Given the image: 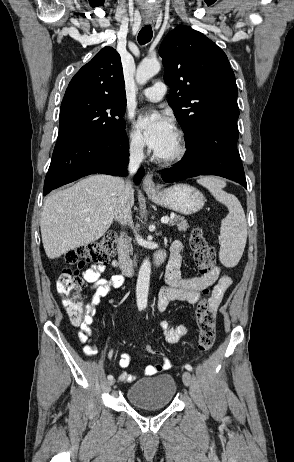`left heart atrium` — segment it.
Masks as SVG:
<instances>
[{
  "label": "left heart atrium",
  "mask_w": 294,
  "mask_h": 462,
  "mask_svg": "<svg viewBox=\"0 0 294 462\" xmlns=\"http://www.w3.org/2000/svg\"><path fill=\"white\" fill-rule=\"evenodd\" d=\"M136 127L143 133L147 145L162 156L176 137L172 121L164 115L142 114L136 121Z\"/></svg>",
  "instance_id": "1"
}]
</instances>
